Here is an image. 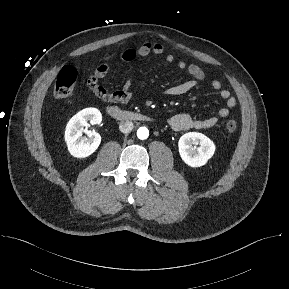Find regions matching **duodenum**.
Listing matches in <instances>:
<instances>
[{
    "label": "duodenum",
    "mask_w": 289,
    "mask_h": 289,
    "mask_svg": "<svg viewBox=\"0 0 289 289\" xmlns=\"http://www.w3.org/2000/svg\"><path fill=\"white\" fill-rule=\"evenodd\" d=\"M107 114L111 116L112 118H115L121 121H151L152 120V118H150L147 115L121 110L115 106L108 107Z\"/></svg>",
    "instance_id": "410a0bca"
}]
</instances>
